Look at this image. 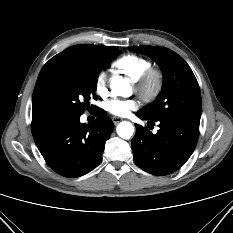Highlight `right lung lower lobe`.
<instances>
[{"mask_svg":"<svg viewBox=\"0 0 233 233\" xmlns=\"http://www.w3.org/2000/svg\"><path fill=\"white\" fill-rule=\"evenodd\" d=\"M80 116L49 117L32 123L31 127L36 146L48 166L65 177H79L97 167L114 129L105 115H100L92 126L80 123Z\"/></svg>","mask_w":233,"mask_h":233,"instance_id":"obj_1","label":"right lung lower lobe"}]
</instances>
